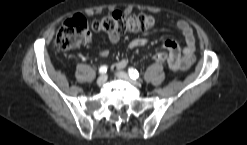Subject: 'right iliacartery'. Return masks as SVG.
Returning <instances> with one entry per match:
<instances>
[{
    "mask_svg": "<svg viewBox=\"0 0 247 145\" xmlns=\"http://www.w3.org/2000/svg\"><path fill=\"white\" fill-rule=\"evenodd\" d=\"M99 72L100 73H106L107 72V66H105V65H103V66H101L100 68H99Z\"/></svg>",
    "mask_w": 247,
    "mask_h": 145,
    "instance_id": "1",
    "label": "right iliac artery"
}]
</instances>
